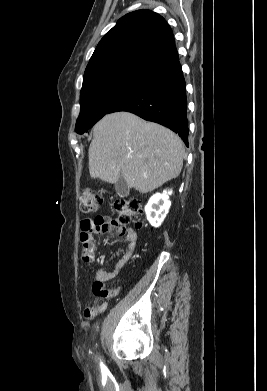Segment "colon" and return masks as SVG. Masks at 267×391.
Wrapping results in <instances>:
<instances>
[{
  "label": "colon",
  "mask_w": 267,
  "mask_h": 391,
  "mask_svg": "<svg viewBox=\"0 0 267 391\" xmlns=\"http://www.w3.org/2000/svg\"><path fill=\"white\" fill-rule=\"evenodd\" d=\"M103 201V195L99 191L85 189L79 196V209L82 215L87 216L96 213ZM114 208L118 214L115 221L125 226L135 219L143 215L142 205L137 199H121L114 203ZM138 226L142 224L137 222ZM86 239L82 238L81 243H85Z\"/></svg>",
  "instance_id": "colon-1"
}]
</instances>
